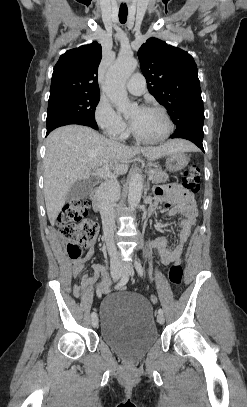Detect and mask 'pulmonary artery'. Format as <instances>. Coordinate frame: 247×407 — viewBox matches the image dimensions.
Wrapping results in <instances>:
<instances>
[{
	"mask_svg": "<svg viewBox=\"0 0 247 407\" xmlns=\"http://www.w3.org/2000/svg\"><path fill=\"white\" fill-rule=\"evenodd\" d=\"M128 91L134 95H141L145 89V78L141 73H135L126 83Z\"/></svg>",
	"mask_w": 247,
	"mask_h": 407,
	"instance_id": "pulmonary-artery-1",
	"label": "pulmonary artery"
}]
</instances>
